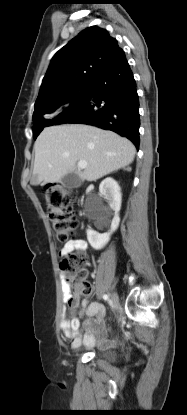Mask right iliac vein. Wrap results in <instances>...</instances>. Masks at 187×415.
I'll list each match as a JSON object with an SVG mask.
<instances>
[{"label": "right iliac vein", "mask_w": 187, "mask_h": 415, "mask_svg": "<svg viewBox=\"0 0 187 415\" xmlns=\"http://www.w3.org/2000/svg\"><path fill=\"white\" fill-rule=\"evenodd\" d=\"M110 298H111V302L113 306L116 308L119 305V298H118L117 293H112L110 295Z\"/></svg>", "instance_id": "63e3f726"}]
</instances>
